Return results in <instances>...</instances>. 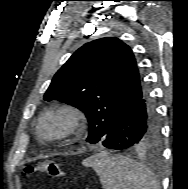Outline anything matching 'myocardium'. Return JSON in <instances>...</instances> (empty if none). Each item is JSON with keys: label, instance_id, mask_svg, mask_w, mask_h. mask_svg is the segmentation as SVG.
I'll return each instance as SVG.
<instances>
[{"label": "myocardium", "instance_id": "f54148a6", "mask_svg": "<svg viewBox=\"0 0 188 189\" xmlns=\"http://www.w3.org/2000/svg\"><path fill=\"white\" fill-rule=\"evenodd\" d=\"M48 119H58L61 127L54 134L47 135L42 131L43 124ZM85 114L75 104L63 102L45 108L34 124L36 138L45 143L57 142L78 136L84 129Z\"/></svg>", "mask_w": 188, "mask_h": 189}]
</instances>
